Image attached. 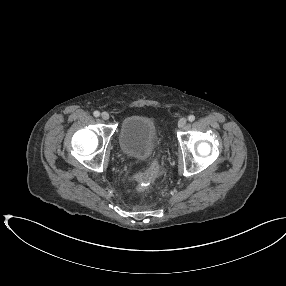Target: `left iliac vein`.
Wrapping results in <instances>:
<instances>
[{
    "label": "left iliac vein",
    "instance_id": "obj_1",
    "mask_svg": "<svg viewBox=\"0 0 286 286\" xmlns=\"http://www.w3.org/2000/svg\"><path fill=\"white\" fill-rule=\"evenodd\" d=\"M187 123V119L186 118H181L179 121H178V127L179 128H183Z\"/></svg>",
    "mask_w": 286,
    "mask_h": 286
}]
</instances>
